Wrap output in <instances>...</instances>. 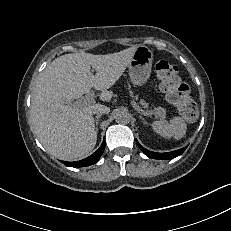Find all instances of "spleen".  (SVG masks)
<instances>
[{
    "mask_svg": "<svg viewBox=\"0 0 231 231\" xmlns=\"http://www.w3.org/2000/svg\"><path fill=\"white\" fill-rule=\"evenodd\" d=\"M151 126L153 131L160 136L166 138L174 137L177 140L181 139L186 134L187 130V124L183 118L178 116L174 117L170 123L158 120L154 121Z\"/></svg>",
    "mask_w": 231,
    "mask_h": 231,
    "instance_id": "obj_1",
    "label": "spleen"
}]
</instances>
